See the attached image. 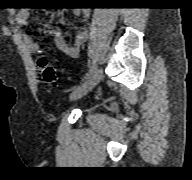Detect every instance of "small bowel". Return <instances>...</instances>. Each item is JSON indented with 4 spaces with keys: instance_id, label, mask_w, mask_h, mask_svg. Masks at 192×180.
<instances>
[{
    "instance_id": "c3829d8e",
    "label": "small bowel",
    "mask_w": 192,
    "mask_h": 180,
    "mask_svg": "<svg viewBox=\"0 0 192 180\" xmlns=\"http://www.w3.org/2000/svg\"><path fill=\"white\" fill-rule=\"evenodd\" d=\"M82 14L87 17L89 15V11H82L79 8L73 9V15L75 17H79ZM28 17V10L21 9L16 15V21L19 25L24 26L28 23ZM47 32L54 35L56 47L71 58H77L80 55L82 45L85 43L89 36L87 29L84 28L75 35L71 43H67L62 32L58 28L51 27L47 30ZM22 39L29 52L34 53L38 51V45L35 43L31 34L24 33L22 35Z\"/></svg>"
}]
</instances>
